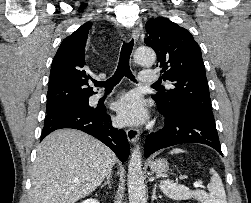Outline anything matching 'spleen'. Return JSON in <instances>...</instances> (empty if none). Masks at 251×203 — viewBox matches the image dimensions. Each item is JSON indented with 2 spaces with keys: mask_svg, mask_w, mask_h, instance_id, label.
<instances>
[{
  "mask_svg": "<svg viewBox=\"0 0 251 203\" xmlns=\"http://www.w3.org/2000/svg\"><path fill=\"white\" fill-rule=\"evenodd\" d=\"M184 150L175 148L170 151L171 154L183 153ZM212 175L207 188L209 193L203 190H190L184 185H177L170 180L160 182V189L169 198L173 200H188L194 198L201 203H227L226 193L222 180L214 169H210Z\"/></svg>",
  "mask_w": 251,
  "mask_h": 203,
  "instance_id": "3e777b00",
  "label": "spleen"
}]
</instances>
